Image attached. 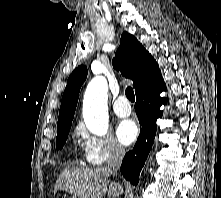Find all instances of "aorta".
I'll return each instance as SVG.
<instances>
[{
	"label": "aorta",
	"instance_id": "obj_1",
	"mask_svg": "<svg viewBox=\"0 0 221 198\" xmlns=\"http://www.w3.org/2000/svg\"><path fill=\"white\" fill-rule=\"evenodd\" d=\"M107 81L94 77L88 84L83 100V118L88 130L98 136L108 131Z\"/></svg>",
	"mask_w": 221,
	"mask_h": 198
}]
</instances>
